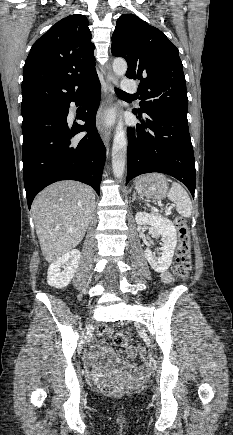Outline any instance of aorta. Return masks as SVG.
<instances>
[{"label": "aorta", "instance_id": "762f6f07", "mask_svg": "<svg viewBox=\"0 0 233 435\" xmlns=\"http://www.w3.org/2000/svg\"><path fill=\"white\" fill-rule=\"evenodd\" d=\"M127 71V63L124 59H115L113 62V72L117 76H124ZM122 118L118 121L112 147V168L116 178H122L125 164L127 141Z\"/></svg>", "mask_w": 233, "mask_h": 435}]
</instances>
